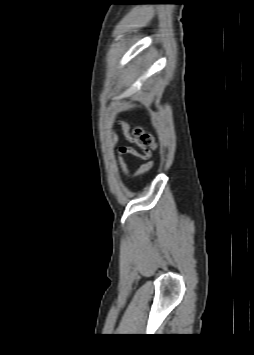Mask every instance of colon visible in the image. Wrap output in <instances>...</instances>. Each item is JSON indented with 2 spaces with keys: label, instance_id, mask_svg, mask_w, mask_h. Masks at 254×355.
I'll list each match as a JSON object with an SVG mask.
<instances>
[{
  "label": "colon",
  "instance_id": "5ec220e1",
  "mask_svg": "<svg viewBox=\"0 0 254 355\" xmlns=\"http://www.w3.org/2000/svg\"><path fill=\"white\" fill-rule=\"evenodd\" d=\"M132 135L134 138L139 140V142L144 147H148L150 149L154 148V142H153L152 137L148 133H146L145 131H143L141 129H134L132 132Z\"/></svg>",
  "mask_w": 254,
  "mask_h": 355
}]
</instances>
